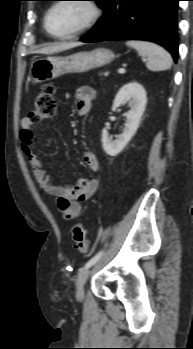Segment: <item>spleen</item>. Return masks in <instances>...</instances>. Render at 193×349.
I'll use <instances>...</instances> for the list:
<instances>
[{
  "mask_svg": "<svg viewBox=\"0 0 193 349\" xmlns=\"http://www.w3.org/2000/svg\"><path fill=\"white\" fill-rule=\"evenodd\" d=\"M127 46L136 49L142 57L147 58L146 67L151 71H164L172 67L171 55L161 46L138 40H129Z\"/></svg>",
  "mask_w": 193,
  "mask_h": 349,
  "instance_id": "3e777b00",
  "label": "spleen"
}]
</instances>
